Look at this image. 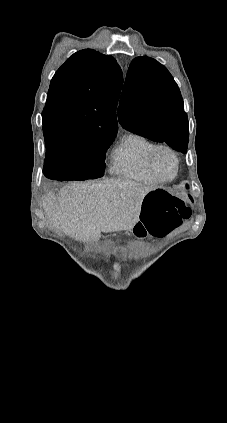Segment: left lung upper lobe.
<instances>
[{"label": "left lung upper lobe", "mask_w": 227, "mask_h": 423, "mask_svg": "<svg viewBox=\"0 0 227 423\" xmlns=\"http://www.w3.org/2000/svg\"><path fill=\"white\" fill-rule=\"evenodd\" d=\"M118 118L125 129L173 149L188 145V118L180 90L166 67L147 56L135 58L129 66Z\"/></svg>", "instance_id": "obj_1"}]
</instances>
